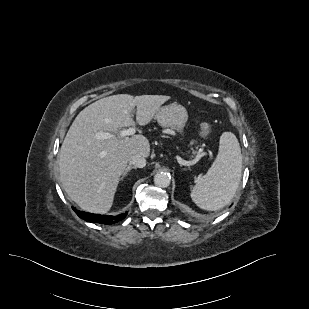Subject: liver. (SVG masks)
<instances>
[{"instance_id": "6515ba94", "label": "liver", "mask_w": 309, "mask_h": 309, "mask_svg": "<svg viewBox=\"0 0 309 309\" xmlns=\"http://www.w3.org/2000/svg\"><path fill=\"white\" fill-rule=\"evenodd\" d=\"M170 98L118 94L90 104L77 115L62 143L58 164L62 186L80 208L92 213L110 210L129 158L150 154L145 136L121 137L119 130L135 125L131 114L135 107L137 123L145 126ZM102 132L112 137L98 139Z\"/></svg>"}]
</instances>
